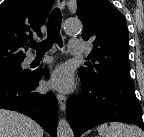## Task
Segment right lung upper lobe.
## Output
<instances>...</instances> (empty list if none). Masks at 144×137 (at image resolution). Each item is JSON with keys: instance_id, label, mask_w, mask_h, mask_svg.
<instances>
[{"instance_id": "right-lung-upper-lobe-1", "label": "right lung upper lobe", "mask_w": 144, "mask_h": 137, "mask_svg": "<svg viewBox=\"0 0 144 137\" xmlns=\"http://www.w3.org/2000/svg\"><path fill=\"white\" fill-rule=\"evenodd\" d=\"M54 0H5L0 5V70L20 63L32 33L41 36Z\"/></svg>"}]
</instances>
